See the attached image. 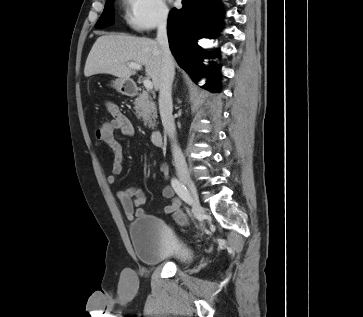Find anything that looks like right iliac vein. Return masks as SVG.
<instances>
[{"instance_id":"obj_1","label":"right iliac vein","mask_w":363,"mask_h":317,"mask_svg":"<svg viewBox=\"0 0 363 317\" xmlns=\"http://www.w3.org/2000/svg\"><path fill=\"white\" fill-rule=\"evenodd\" d=\"M179 177H180L181 182L184 183L185 185H187V187L189 188V190L191 192L192 200H193V204H192L193 211L195 214H197L201 209V205L199 202V197H198L196 186L187 174H181Z\"/></svg>"}]
</instances>
